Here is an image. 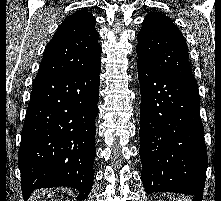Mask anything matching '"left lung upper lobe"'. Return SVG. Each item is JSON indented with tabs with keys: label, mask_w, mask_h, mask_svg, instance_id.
Here are the masks:
<instances>
[{
	"label": "left lung upper lobe",
	"mask_w": 221,
	"mask_h": 201,
	"mask_svg": "<svg viewBox=\"0 0 221 201\" xmlns=\"http://www.w3.org/2000/svg\"><path fill=\"white\" fill-rule=\"evenodd\" d=\"M138 62L162 74L196 83L182 33L165 15L150 12L137 34Z\"/></svg>",
	"instance_id": "5c2ea615"
}]
</instances>
